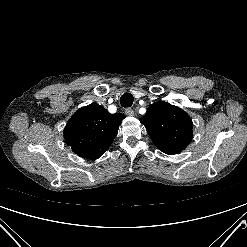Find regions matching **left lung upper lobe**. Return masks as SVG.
I'll return each instance as SVG.
<instances>
[{
  "label": "left lung upper lobe",
  "mask_w": 247,
  "mask_h": 247,
  "mask_svg": "<svg viewBox=\"0 0 247 247\" xmlns=\"http://www.w3.org/2000/svg\"><path fill=\"white\" fill-rule=\"evenodd\" d=\"M140 122L146 127L156 147L166 154L180 153L193 137L190 116L179 107L164 101L150 105Z\"/></svg>",
  "instance_id": "left-lung-upper-lobe-1"
}]
</instances>
